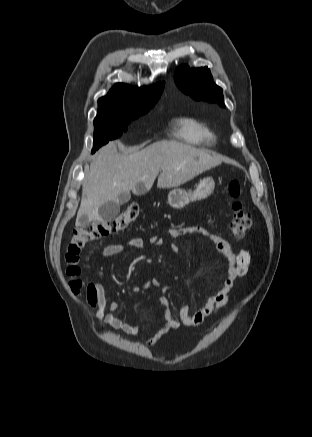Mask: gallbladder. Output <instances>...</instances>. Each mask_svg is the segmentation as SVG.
<instances>
[{"instance_id": "1", "label": "gallbladder", "mask_w": 312, "mask_h": 437, "mask_svg": "<svg viewBox=\"0 0 312 437\" xmlns=\"http://www.w3.org/2000/svg\"><path fill=\"white\" fill-rule=\"evenodd\" d=\"M131 198V194L129 191H124L119 194L118 200L116 202L114 201H108L104 204H102L99 209L98 213L100 216V219L102 221H110L118 216L120 212V205L127 203ZM82 223H84V220H81Z\"/></svg>"}]
</instances>
